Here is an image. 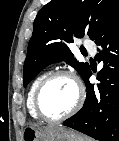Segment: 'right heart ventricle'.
<instances>
[{
  "instance_id": "e07e8e85",
  "label": "right heart ventricle",
  "mask_w": 119,
  "mask_h": 141,
  "mask_svg": "<svg viewBox=\"0 0 119 141\" xmlns=\"http://www.w3.org/2000/svg\"><path fill=\"white\" fill-rule=\"evenodd\" d=\"M48 72H42L40 74H38L34 80L32 81L28 93H27V100H26V107L27 110L30 114V116L34 119H39L37 114L35 113L34 110V106H33V97H34V93L36 88L38 87V85L40 84V82L48 75Z\"/></svg>"
}]
</instances>
